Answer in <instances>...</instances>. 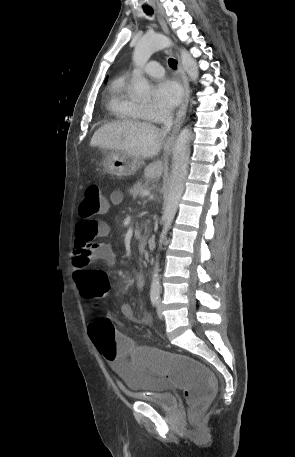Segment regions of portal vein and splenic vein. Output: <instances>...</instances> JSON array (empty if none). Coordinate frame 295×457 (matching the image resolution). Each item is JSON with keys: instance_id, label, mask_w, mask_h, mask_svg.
<instances>
[{"instance_id": "18ae733b", "label": "portal vein and splenic vein", "mask_w": 295, "mask_h": 457, "mask_svg": "<svg viewBox=\"0 0 295 457\" xmlns=\"http://www.w3.org/2000/svg\"><path fill=\"white\" fill-rule=\"evenodd\" d=\"M150 192L148 190H144L142 192V196H149Z\"/></svg>"}]
</instances>
